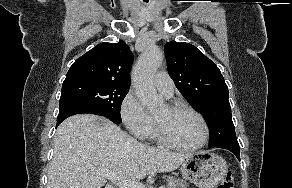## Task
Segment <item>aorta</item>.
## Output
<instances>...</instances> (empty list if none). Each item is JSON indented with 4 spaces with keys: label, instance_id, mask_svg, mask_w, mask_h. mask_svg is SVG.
Wrapping results in <instances>:
<instances>
[{
    "label": "aorta",
    "instance_id": "762f6f07",
    "mask_svg": "<svg viewBox=\"0 0 292 188\" xmlns=\"http://www.w3.org/2000/svg\"><path fill=\"white\" fill-rule=\"evenodd\" d=\"M162 61V50L156 45L150 46L141 54L133 71L136 95L150 113L159 111L164 105L163 99L157 94L153 82L154 75Z\"/></svg>",
    "mask_w": 292,
    "mask_h": 188
}]
</instances>
